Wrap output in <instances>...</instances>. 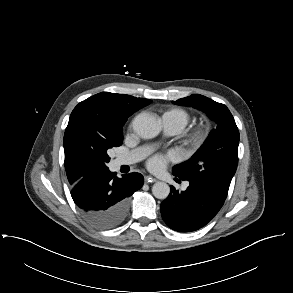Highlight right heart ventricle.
<instances>
[{
  "instance_id": "e07e8e85",
  "label": "right heart ventricle",
  "mask_w": 293,
  "mask_h": 293,
  "mask_svg": "<svg viewBox=\"0 0 293 293\" xmlns=\"http://www.w3.org/2000/svg\"><path fill=\"white\" fill-rule=\"evenodd\" d=\"M164 116H168L172 119L179 132H181L192 120L190 112L183 108H171L163 113L162 117Z\"/></svg>"
}]
</instances>
